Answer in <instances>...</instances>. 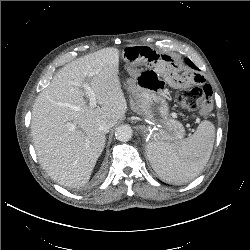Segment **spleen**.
I'll use <instances>...</instances> for the list:
<instances>
[{
    "instance_id": "1",
    "label": "spleen",
    "mask_w": 250,
    "mask_h": 250,
    "mask_svg": "<svg viewBox=\"0 0 250 250\" xmlns=\"http://www.w3.org/2000/svg\"><path fill=\"white\" fill-rule=\"evenodd\" d=\"M215 127L202 121L195 133L175 143L152 140L147 145L149 162L164 181L183 184L203 170L212 153Z\"/></svg>"
}]
</instances>
